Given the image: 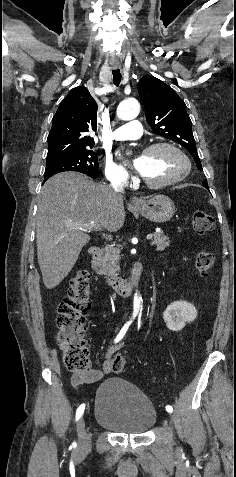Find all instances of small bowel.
Listing matches in <instances>:
<instances>
[{"instance_id":"small-bowel-1","label":"small bowel","mask_w":236,"mask_h":477,"mask_svg":"<svg viewBox=\"0 0 236 477\" xmlns=\"http://www.w3.org/2000/svg\"><path fill=\"white\" fill-rule=\"evenodd\" d=\"M118 327H116L115 331H118ZM121 348V345L117 342H113L109 345L106 356L107 360H105L102 366L99 369H90L84 373H77L73 376V382L75 384H82V383H95L101 380L105 375L111 372L110 362L111 360L118 355V352Z\"/></svg>"}]
</instances>
